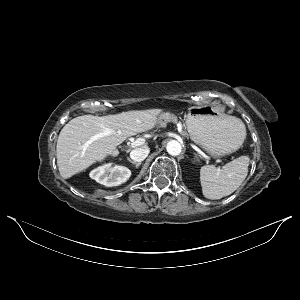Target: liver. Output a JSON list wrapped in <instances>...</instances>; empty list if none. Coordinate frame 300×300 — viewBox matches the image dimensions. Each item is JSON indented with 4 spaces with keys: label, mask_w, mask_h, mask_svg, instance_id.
<instances>
[{
    "label": "liver",
    "mask_w": 300,
    "mask_h": 300,
    "mask_svg": "<svg viewBox=\"0 0 300 300\" xmlns=\"http://www.w3.org/2000/svg\"><path fill=\"white\" fill-rule=\"evenodd\" d=\"M158 114L152 109L102 117L83 115L70 120L62 128L56 146L61 176L66 179L86 170L112 154L126 138L153 129Z\"/></svg>",
    "instance_id": "liver-1"
}]
</instances>
